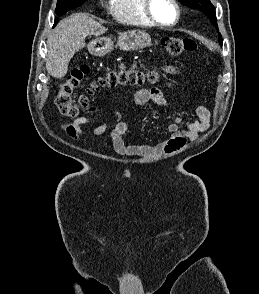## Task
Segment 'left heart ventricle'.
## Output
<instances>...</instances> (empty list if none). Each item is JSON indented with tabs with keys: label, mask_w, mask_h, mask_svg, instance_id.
<instances>
[{
	"label": "left heart ventricle",
	"mask_w": 259,
	"mask_h": 294,
	"mask_svg": "<svg viewBox=\"0 0 259 294\" xmlns=\"http://www.w3.org/2000/svg\"><path fill=\"white\" fill-rule=\"evenodd\" d=\"M152 12L163 23H172L176 17L175 8L170 0H153Z\"/></svg>",
	"instance_id": "left-heart-ventricle-1"
}]
</instances>
